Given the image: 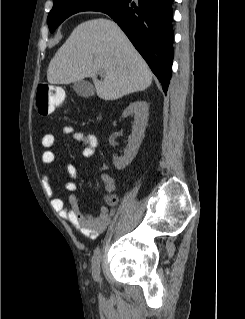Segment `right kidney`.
I'll list each match as a JSON object with an SVG mask.
<instances>
[{"mask_svg":"<svg viewBox=\"0 0 245 319\" xmlns=\"http://www.w3.org/2000/svg\"><path fill=\"white\" fill-rule=\"evenodd\" d=\"M149 105L146 101H135L131 103L123 112V117L134 114L132 134L128 138V145L124 151V156L113 157V164L118 169H124L137 155L138 149L144 138V132L148 121Z\"/></svg>","mask_w":245,"mask_h":319,"instance_id":"obj_1","label":"right kidney"}]
</instances>
